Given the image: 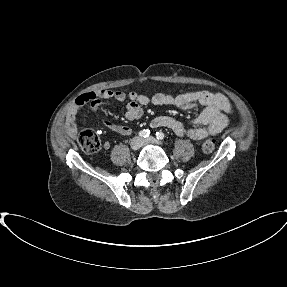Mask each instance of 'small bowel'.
Segmentation results:
<instances>
[{
	"label": "small bowel",
	"instance_id": "c3829d8e",
	"mask_svg": "<svg viewBox=\"0 0 287 287\" xmlns=\"http://www.w3.org/2000/svg\"><path fill=\"white\" fill-rule=\"evenodd\" d=\"M102 100L125 102V116L128 120L139 119L143 114L144 107L149 105H172L180 109L203 106V110L192 121L190 127L184 126L170 116H157L151 122V126L154 128L167 127L177 135H186L193 140H202L220 133L227 125V114L231 111L230 103L224 95L207 91H188L176 96L163 93L148 96L134 91L125 93L123 91L102 89L82 94L75 99L65 121L67 135L74 137L77 134V114L86 105H89L93 112H99ZM103 122L109 129L118 134L129 135L131 133V128L128 126L116 124L108 119H104ZM109 146L108 142L104 144L105 149H108Z\"/></svg>",
	"mask_w": 287,
	"mask_h": 287
}]
</instances>
